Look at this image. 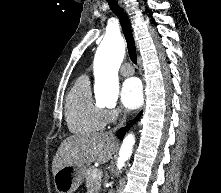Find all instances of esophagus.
Listing matches in <instances>:
<instances>
[{
  "mask_svg": "<svg viewBox=\"0 0 221 193\" xmlns=\"http://www.w3.org/2000/svg\"><path fill=\"white\" fill-rule=\"evenodd\" d=\"M118 2H119V4H120V6H121L125 11H127V6H126V4L124 3V0H118Z\"/></svg>",
  "mask_w": 221,
  "mask_h": 193,
  "instance_id": "esophagus-1",
  "label": "esophagus"
}]
</instances>
